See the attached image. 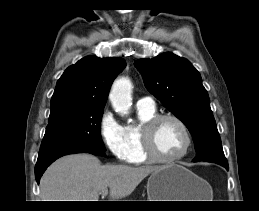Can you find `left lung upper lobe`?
<instances>
[{
	"label": "left lung upper lobe",
	"mask_w": 259,
	"mask_h": 211,
	"mask_svg": "<svg viewBox=\"0 0 259 211\" xmlns=\"http://www.w3.org/2000/svg\"><path fill=\"white\" fill-rule=\"evenodd\" d=\"M135 65L148 91L189 129L197 154L193 161L227 164L208 93L193 65L171 52L139 59Z\"/></svg>",
	"instance_id": "obj_1"
}]
</instances>
